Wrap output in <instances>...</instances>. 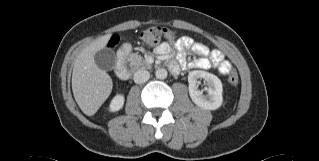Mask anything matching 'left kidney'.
<instances>
[{"label":"left kidney","mask_w":319,"mask_h":161,"mask_svg":"<svg viewBox=\"0 0 319 161\" xmlns=\"http://www.w3.org/2000/svg\"><path fill=\"white\" fill-rule=\"evenodd\" d=\"M198 79H204L208 88L206 95L198 88ZM189 95L192 101L199 107L206 110H216L223 102V87L220 79L206 71L194 70L188 74Z\"/></svg>","instance_id":"left-kidney-1"}]
</instances>
